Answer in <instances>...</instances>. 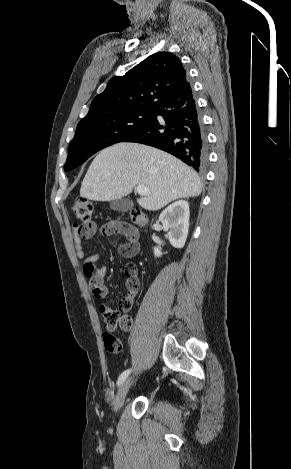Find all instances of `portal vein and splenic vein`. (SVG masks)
Returning a JSON list of instances; mask_svg holds the SVG:
<instances>
[{
  "label": "portal vein and splenic vein",
  "instance_id": "obj_1",
  "mask_svg": "<svg viewBox=\"0 0 291 469\" xmlns=\"http://www.w3.org/2000/svg\"><path fill=\"white\" fill-rule=\"evenodd\" d=\"M136 191L139 195H148L150 191L143 185H138Z\"/></svg>",
  "mask_w": 291,
  "mask_h": 469
}]
</instances>
